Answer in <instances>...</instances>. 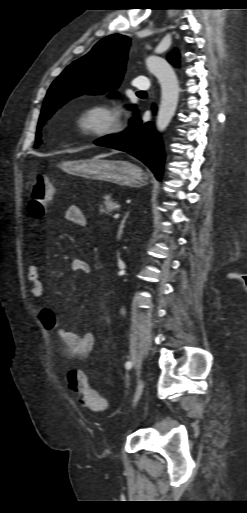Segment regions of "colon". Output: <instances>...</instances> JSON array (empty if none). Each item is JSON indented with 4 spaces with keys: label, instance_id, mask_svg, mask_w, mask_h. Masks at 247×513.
<instances>
[{
    "label": "colon",
    "instance_id": "5ec220e1",
    "mask_svg": "<svg viewBox=\"0 0 247 513\" xmlns=\"http://www.w3.org/2000/svg\"><path fill=\"white\" fill-rule=\"evenodd\" d=\"M54 197V188L47 177L39 175L33 179L28 193L27 211L34 221L43 218L49 203ZM69 388L76 392L81 402L93 411L103 412L107 401L89 384L88 377L82 371L72 370L68 373Z\"/></svg>",
    "mask_w": 247,
    "mask_h": 513
}]
</instances>
